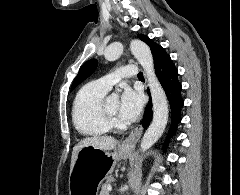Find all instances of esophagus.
<instances>
[{
    "label": "esophagus",
    "mask_w": 240,
    "mask_h": 195,
    "mask_svg": "<svg viewBox=\"0 0 240 195\" xmlns=\"http://www.w3.org/2000/svg\"><path fill=\"white\" fill-rule=\"evenodd\" d=\"M142 133V128H137L133 130L128 137L125 138V140L122 142L121 148H133L137 141L139 140Z\"/></svg>",
    "instance_id": "obj_1"
}]
</instances>
